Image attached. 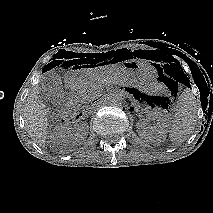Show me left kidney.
<instances>
[{"mask_svg":"<svg viewBox=\"0 0 213 213\" xmlns=\"http://www.w3.org/2000/svg\"><path fill=\"white\" fill-rule=\"evenodd\" d=\"M153 117L157 123L153 128H148L144 121L137 123L138 134L142 138L162 139L168 132V117L164 111H155Z\"/></svg>","mask_w":213,"mask_h":213,"instance_id":"5707ae66","label":"left kidney"}]
</instances>
